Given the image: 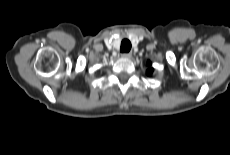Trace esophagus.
<instances>
[{
    "label": "esophagus",
    "mask_w": 230,
    "mask_h": 155,
    "mask_svg": "<svg viewBox=\"0 0 230 155\" xmlns=\"http://www.w3.org/2000/svg\"><path fill=\"white\" fill-rule=\"evenodd\" d=\"M122 56L124 58H130L132 56V54L130 52H127V53H123Z\"/></svg>",
    "instance_id": "34e87169"
}]
</instances>
